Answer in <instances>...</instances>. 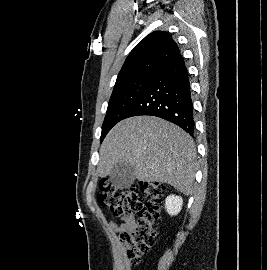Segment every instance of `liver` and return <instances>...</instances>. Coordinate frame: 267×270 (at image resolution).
<instances>
[{"label": "liver", "instance_id": "obj_1", "mask_svg": "<svg viewBox=\"0 0 267 270\" xmlns=\"http://www.w3.org/2000/svg\"><path fill=\"white\" fill-rule=\"evenodd\" d=\"M196 148L178 126L154 116H136L119 122L100 148L99 177L117 163H129L139 181L167 183L184 195L193 190Z\"/></svg>", "mask_w": 267, "mask_h": 270}]
</instances>
